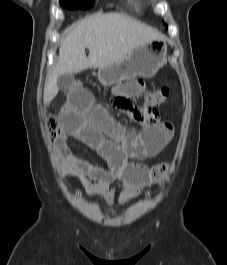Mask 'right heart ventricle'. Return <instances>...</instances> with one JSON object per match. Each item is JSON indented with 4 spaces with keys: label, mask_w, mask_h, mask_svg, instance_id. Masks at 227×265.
I'll return each instance as SVG.
<instances>
[{
    "label": "right heart ventricle",
    "mask_w": 227,
    "mask_h": 265,
    "mask_svg": "<svg viewBox=\"0 0 227 265\" xmlns=\"http://www.w3.org/2000/svg\"><path fill=\"white\" fill-rule=\"evenodd\" d=\"M128 3L130 4V6L135 9L138 10L139 9V3L135 2L134 0H128Z\"/></svg>",
    "instance_id": "1"
}]
</instances>
